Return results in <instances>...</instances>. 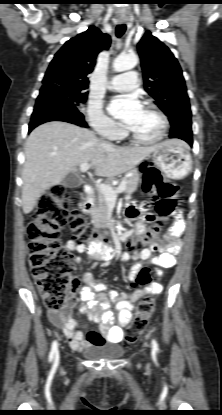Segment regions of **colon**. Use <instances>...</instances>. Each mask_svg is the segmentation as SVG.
<instances>
[{
    "label": "colon",
    "instance_id": "obj_1",
    "mask_svg": "<svg viewBox=\"0 0 222 415\" xmlns=\"http://www.w3.org/2000/svg\"><path fill=\"white\" fill-rule=\"evenodd\" d=\"M143 189L156 199L155 212L159 217L170 216L179 204L176 186L165 182L159 170L151 165L143 166ZM149 220H155L150 216ZM68 227L75 239L87 246L106 243L108 238L95 230L83 214L70 205L67 190L62 184H54L44 193L28 226L30 240V267L45 306L52 311L63 309L69 294L76 285L73 280L74 256L60 244L62 228ZM160 227L153 225L141 237L131 238L129 246L152 243L160 234ZM153 273L149 269L140 271L136 283L139 287L150 284ZM152 295L143 297L137 306L131 327L126 331L125 344L131 345L147 328L155 310Z\"/></svg>",
    "mask_w": 222,
    "mask_h": 415
}]
</instances>
